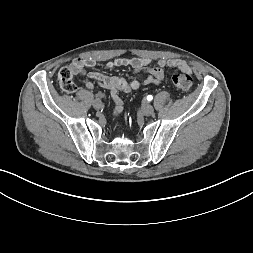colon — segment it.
<instances>
[{
    "label": "colon",
    "instance_id": "1",
    "mask_svg": "<svg viewBox=\"0 0 253 253\" xmlns=\"http://www.w3.org/2000/svg\"><path fill=\"white\" fill-rule=\"evenodd\" d=\"M76 70L71 66L62 67L57 74V82L65 92H74L76 85L74 83V75ZM172 84L181 90H188L193 84V78L187 71L175 73L172 76Z\"/></svg>",
    "mask_w": 253,
    "mask_h": 253
}]
</instances>
